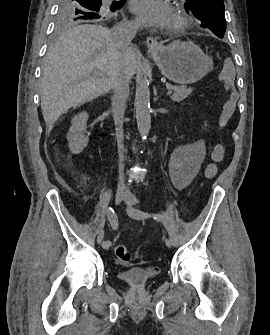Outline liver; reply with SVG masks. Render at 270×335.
Here are the masks:
<instances>
[{
    "label": "liver",
    "instance_id": "6515ba94",
    "mask_svg": "<svg viewBox=\"0 0 270 335\" xmlns=\"http://www.w3.org/2000/svg\"><path fill=\"white\" fill-rule=\"evenodd\" d=\"M118 70L132 78L135 54L133 48L118 46L108 28L83 24L61 34L46 54L41 78V110L46 124H54L69 108L109 92L111 76Z\"/></svg>",
    "mask_w": 270,
    "mask_h": 335
}]
</instances>
